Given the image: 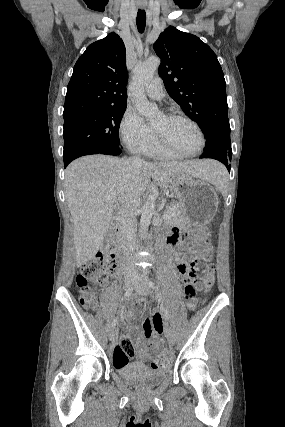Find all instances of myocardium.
Here are the masks:
<instances>
[{
    "instance_id": "f54148a6",
    "label": "myocardium",
    "mask_w": 285,
    "mask_h": 427,
    "mask_svg": "<svg viewBox=\"0 0 285 427\" xmlns=\"http://www.w3.org/2000/svg\"><path fill=\"white\" fill-rule=\"evenodd\" d=\"M164 116L168 117V118H172V119H180V120H184L188 123H190L197 131L198 135H199V139H200V144L199 147L196 151L194 152H183L179 149H177L173 144H171L165 137H163L155 128L154 132L156 135V139L158 141V143L166 150L177 154L181 157H194L196 155H198L205 147L206 144V139H205V135L203 133L202 128L200 127V125L192 118H190L189 116H186L184 114L178 113V112H166L163 114Z\"/></svg>"
}]
</instances>
